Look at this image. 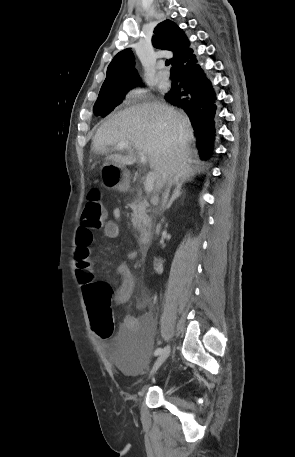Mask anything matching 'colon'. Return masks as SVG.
<instances>
[{
	"instance_id": "obj_1",
	"label": "colon",
	"mask_w": 295,
	"mask_h": 457,
	"mask_svg": "<svg viewBox=\"0 0 295 457\" xmlns=\"http://www.w3.org/2000/svg\"><path fill=\"white\" fill-rule=\"evenodd\" d=\"M105 222L106 213L100 191L92 189L86 197L81 213V226L98 229L103 227ZM76 273L84 285V302L92 329L100 339H108L113 332L112 291L106 283L95 280L87 254L81 253L76 257Z\"/></svg>"
}]
</instances>
